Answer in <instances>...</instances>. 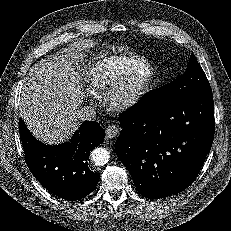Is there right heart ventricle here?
<instances>
[{
	"mask_svg": "<svg viewBox=\"0 0 231 231\" xmlns=\"http://www.w3.org/2000/svg\"><path fill=\"white\" fill-rule=\"evenodd\" d=\"M142 59L130 54L102 55L91 61L83 70L81 81L91 95L108 90Z\"/></svg>",
	"mask_w": 231,
	"mask_h": 231,
	"instance_id": "right-heart-ventricle-1",
	"label": "right heart ventricle"
}]
</instances>
